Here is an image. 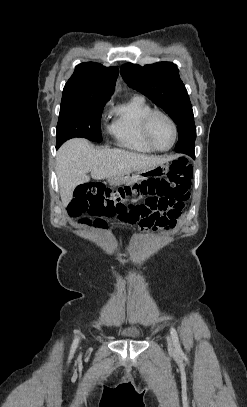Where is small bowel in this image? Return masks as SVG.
Returning <instances> with one entry per match:
<instances>
[{"label": "small bowel", "instance_id": "1", "mask_svg": "<svg viewBox=\"0 0 247 407\" xmlns=\"http://www.w3.org/2000/svg\"><path fill=\"white\" fill-rule=\"evenodd\" d=\"M184 212V202L147 197L134 209L117 216L118 220L137 224L142 232H168L175 228Z\"/></svg>", "mask_w": 247, "mask_h": 407}]
</instances>
